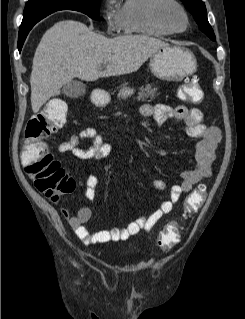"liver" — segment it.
<instances>
[{"label":"liver","mask_w":245,"mask_h":319,"mask_svg":"<svg viewBox=\"0 0 245 319\" xmlns=\"http://www.w3.org/2000/svg\"><path fill=\"white\" fill-rule=\"evenodd\" d=\"M167 45L147 35L109 39L79 21H59L44 33L34 54L30 76L32 110L37 113L75 77L95 81L133 73ZM101 65L106 66L103 72L99 71Z\"/></svg>","instance_id":"liver-1"}]
</instances>
